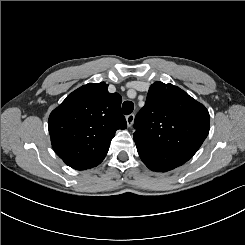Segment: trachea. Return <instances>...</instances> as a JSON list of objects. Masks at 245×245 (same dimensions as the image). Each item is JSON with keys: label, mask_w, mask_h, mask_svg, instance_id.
Here are the masks:
<instances>
[{"label": "trachea", "mask_w": 245, "mask_h": 245, "mask_svg": "<svg viewBox=\"0 0 245 245\" xmlns=\"http://www.w3.org/2000/svg\"><path fill=\"white\" fill-rule=\"evenodd\" d=\"M134 109V104L131 101H125L122 105V112L124 114H130Z\"/></svg>", "instance_id": "trachea-1"}]
</instances>
